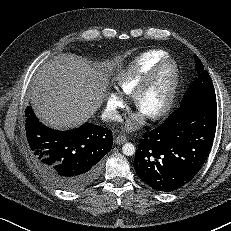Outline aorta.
Returning a JSON list of instances; mask_svg holds the SVG:
<instances>
[{
    "instance_id": "obj_1",
    "label": "aorta",
    "mask_w": 231,
    "mask_h": 231,
    "mask_svg": "<svg viewBox=\"0 0 231 231\" xmlns=\"http://www.w3.org/2000/svg\"><path fill=\"white\" fill-rule=\"evenodd\" d=\"M122 152L126 156H132L135 153V146L132 143H125Z\"/></svg>"
}]
</instances>
